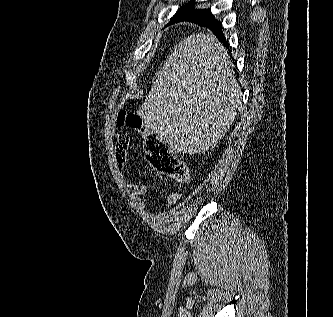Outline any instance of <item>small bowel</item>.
I'll return each mask as SVG.
<instances>
[{"label": "small bowel", "instance_id": "small-bowel-1", "mask_svg": "<svg viewBox=\"0 0 333 317\" xmlns=\"http://www.w3.org/2000/svg\"><path fill=\"white\" fill-rule=\"evenodd\" d=\"M130 138L126 133H119L116 137V151H115V164L118 171H121L127 161L128 148H129ZM122 182L126 189V192L130 198L136 203L141 209L145 208L144 201L142 199L143 195L147 191V186L145 184H133L127 182L122 178ZM180 198L179 193H170L167 196V203L172 205L178 201Z\"/></svg>", "mask_w": 333, "mask_h": 317}]
</instances>
